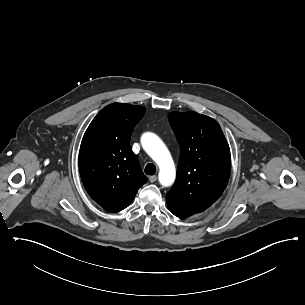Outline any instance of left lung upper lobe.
Wrapping results in <instances>:
<instances>
[{"label":"left lung upper lobe","instance_id":"obj_1","mask_svg":"<svg viewBox=\"0 0 305 305\" xmlns=\"http://www.w3.org/2000/svg\"><path fill=\"white\" fill-rule=\"evenodd\" d=\"M170 125L180 144L177 177L168 205L196 214L225 190L231 170L230 148L219 124L196 112H171Z\"/></svg>","mask_w":305,"mask_h":305}]
</instances>
